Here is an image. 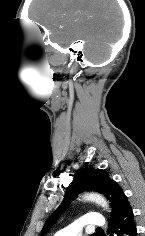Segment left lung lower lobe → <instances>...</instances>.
<instances>
[{
  "label": "left lung lower lobe",
  "instance_id": "0a47b994",
  "mask_svg": "<svg viewBox=\"0 0 145 236\" xmlns=\"http://www.w3.org/2000/svg\"><path fill=\"white\" fill-rule=\"evenodd\" d=\"M109 236H136L137 229L132 208L109 221L107 231Z\"/></svg>",
  "mask_w": 145,
  "mask_h": 236
}]
</instances>
